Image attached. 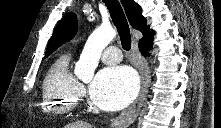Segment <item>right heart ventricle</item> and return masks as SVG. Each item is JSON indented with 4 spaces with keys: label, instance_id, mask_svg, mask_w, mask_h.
I'll return each instance as SVG.
<instances>
[{
    "label": "right heart ventricle",
    "instance_id": "1",
    "mask_svg": "<svg viewBox=\"0 0 221 128\" xmlns=\"http://www.w3.org/2000/svg\"><path fill=\"white\" fill-rule=\"evenodd\" d=\"M79 81L71 67V56L63 53L49 66L42 84L41 111L46 116H65L78 101Z\"/></svg>",
    "mask_w": 221,
    "mask_h": 128
}]
</instances>
